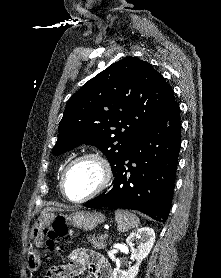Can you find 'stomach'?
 I'll use <instances>...</instances> for the list:
<instances>
[{"label": "stomach", "mask_w": 221, "mask_h": 278, "mask_svg": "<svg viewBox=\"0 0 221 278\" xmlns=\"http://www.w3.org/2000/svg\"><path fill=\"white\" fill-rule=\"evenodd\" d=\"M55 219L56 215L52 213L42 214L37 219L30 232V238L34 243H37L44 238L45 229L51 228ZM104 220L105 216L103 214L88 211H76L65 216V221L67 224L84 231H90L94 229L98 224L103 223ZM28 258L33 263L30 264L32 274H35V272H40V264H38L39 255L37 251L31 248L28 252Z\"/></svg>", "instance_id": "obj_1"}]
</instances>
